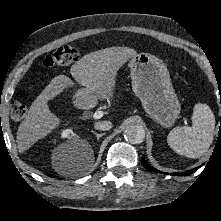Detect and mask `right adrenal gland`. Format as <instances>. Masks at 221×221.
Returning a JSON list of instances; mask_svg holds the SVG:
<instances>
[{"mask_svg":"<svg viewBox=\"0 0 221 221\" xmlns=\"http://www.w3.org/2000/svg\"><path fill=\"white\" fill-rule=\"evenodd\" d=\"M91 132L97 137V140H99V138L104 135V133H100V134H99V133H97V132H95V131H93V130H92Z\"/></svg>","mask_w":221,"mask_h":221,"instance_id":"2a0ac1e0","label":"right adrenal gland"}]
</instances>
